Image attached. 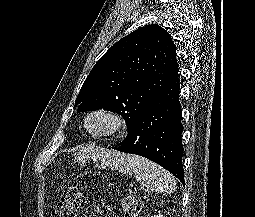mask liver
Returning <instances> with one entry per match:
<instances>
[{
    "mask_svg": "<svg viewBox=\"0 0 255 217\" xmlns=\"http://www.w3.org/2000/svg\"><path fill=\"white\" fill-rule=\"evenodd\" d=\"M77 151H78L77 157L80 160L87 159V158L108 159L119 154L114 151L104 152L102 149L94 148V147H80L78 148Z\"/></svg>",
    "mask_w": 255,
    "mask_h": 217,
    "instance_id": "6515ba94",
    "label": "liver"
}]
</instances>
